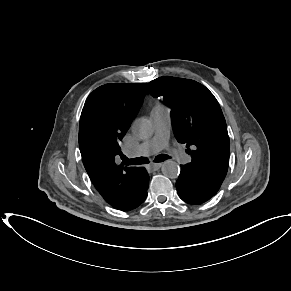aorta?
I'll use <instances>...</instances> for the list:
<instances>
[{"label":"aorta","mask_w":291,"mask_h":291,"mask_svg":"<svg viewBox=\"0 0 291 291\" xmlns=\"http://www.w3.org/2000/svg\"><path fill=\"white\" fill-rule=\"evenodd\" d=\"M132 132L140 139H147L153 134L152 123L146 118H139L133 123ZM161 170L162 173L169 178H176L180 173L179 165L172 160L164 162Z\"/></svg>","instance_id":"obj_1"}]
</instances>
